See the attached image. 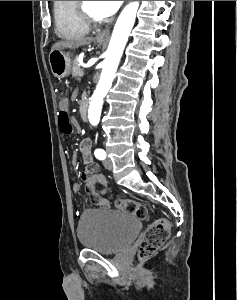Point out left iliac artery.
<instances>
[{"mask_svg":"<svg viewBox=\"0 0 237 300\" xmlns=\"http://www.w3.org/2000/svg\"><path fill=\"white\" fill-rule=\"evenodd\" d=\"M94 155L99 160H104L106 158V152L103 149H96Z\"/></svg>","mask_w":237,"mask_h":300,"instance_id":"obj_1","label":"left iliac artery"}]
</instances>
